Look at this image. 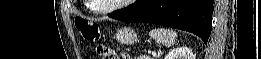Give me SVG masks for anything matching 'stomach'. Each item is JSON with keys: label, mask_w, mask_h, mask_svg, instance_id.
<instances>
[{"label": "stomach", "mask_w": 261, "mask_h": 59, "mask_svg": "<svg viewBox=\"0 0 261 59\" xmlns=\"http://www.w3.org/2000/svg\"><path fill=\"white\" fill-rule=\"evenodd\" d=\"M115 38L119 43L125 45H132L138 40L136 32L129 27L118 29L115 34Z\"/></svg>", "instance_id": "0dacf381"}]
</instances>
